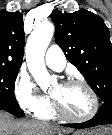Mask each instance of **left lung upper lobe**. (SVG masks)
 Here are the masks:
<instances>
[{"mask_svg":"<svg viewBox=\"0 0 112 135\" xmlns=\"http://www.w3.org/2000/svg\"><path fill=\"white\" fill-rule=\"evenodd\" d=\"M56 43L103 101H112V43L103 19L85 9L71 14L55 10Z\"/></svg>","mask_w":112,"mask_h":135,"instance_id":"1","label":"left lung upper lobe"}]
</instances>
